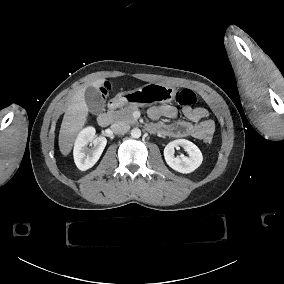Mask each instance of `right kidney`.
<instances>
[{
	"instance_id": "right-kidney-1",
	"label": "right kidney",
	"mask_w": 284,
	"mask_h": 284,
	"mask_svg": "<svg viewBox=\"0 0 284 284\" xmlns=\"http://www.w3.org/2000/svg\"><path fill=\"white\" fill-rule=\"evenodd\" d=\"M95 132L94 127H86L79 132L75 140L73 155L79 170L85 171L94 166L106 146V138L96 137ZM89 143H93L92 148L87 147Z\"/></svg>"
}]
</instances>
